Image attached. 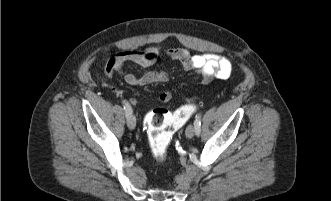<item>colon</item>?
Segmentation results:
<instances>
[{
    "instance_id": "1",
    "label": "colon",
    "mask_w": 331,
    "mask_h": 201,
    "mask_svg": "<svg viewBox=\"0 0 331 201\" xmlns=\"http://www.w3.org/2000/svg\"><path fill=\"white\" fill-rule=\"evenodd\" d=\"M193 99L174 113L164 108H156L145 117L150 149L157 160H164L173 134L194 113Z\"/></svg>"
}]
</instances>
